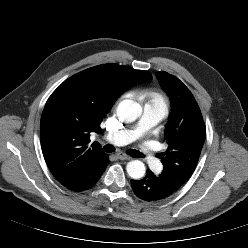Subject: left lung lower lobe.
I'll list each match as a JSON object with an SVG mask.
<instances>
[{
    "label": "left lung lower lobe",
    "mask_w": 248,
    "mask_h": 248,
    "mask_svg": "<svg viewBox=\"0 0 248 248\" xmlns=\"http://www.w3.org/2000/svg\"><path fill=\"white\" fill-rule=\"evenodd\" d=\"M132 189L137 197L145 201H159L175 192L150 170L141 180H131Z\"/></svg>",
    "instance_id": "0a47b994"
}]
</instances>
